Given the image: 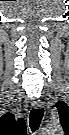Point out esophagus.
<instances>
[{"mask_svg": "<svg viewBox=\"0 0 69 135\" xmlns=\"http://www.w3.org/2000/svg\"><path fill=\"white\" fill-rule=\"evenodd\" d=\"M32 106H33L34 108H43V107H44V104H43L42 101L36 100V101H33V102H32Z\"/></svg>", "mask_w": 69, "mask_h": 135, "instance_id": "34e87169", "label": "esophagus"}]
</instances>
